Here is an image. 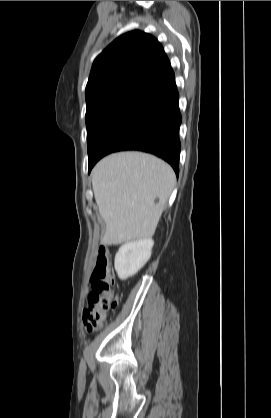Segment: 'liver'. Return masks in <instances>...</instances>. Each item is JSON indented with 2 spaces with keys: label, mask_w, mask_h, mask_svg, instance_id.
Masks as SVG:
<instances>
[{
  "label": "liver",
  "mask_w": 271,
  "mask_h": 418,
  "mask_svg": "<svg viewBox=\"0 0 271 418\" xmlns=\"http://www.w3.org/2000/svg\"><path fill=\"white\" fill-rule=\"evenodd\" d=\"M175 181L171 166L150 154L120 152L100 160L92 171V187L106 224L101 244L151 238Z\"/></svg>",
  "instance_id": "obj_1"
}]
</instances>
